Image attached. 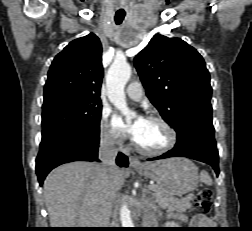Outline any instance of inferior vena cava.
Returning <instances> with one entry per match:
<instances>
[{"instance_id": "obj_1", "label": "inferior vena cava", "mask_w": 252, "mask_h": 231, "mask_svg": "<svg viewBox=\"0 0 252 231\" xmlns=\"http://www.w3.org/2000/svg\"><path fill=\"white\" fill-rule=\"evenodd\" d=\"M118 150L115 146V139L112 134L105 133L101 135L100 148H99V159L102 161V166L110 177L116 173L118 167L116 166L115 159L117 157ZM112 215L117 221V208L116 206L112 209Z\"/></svg>"}]
</instances>
